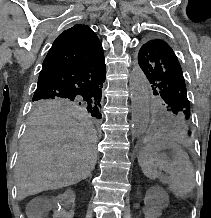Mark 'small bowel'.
<instances>
[{
	"label": "small bowel",
	"mask_w": 211,
	"mask_h": 218,
	"mask_svg": "<svg viewBox=\"0 0 211 218\" xmlns=\"http://www.w3.org/2000/svg\"><path fill=\"white\" fill-rule=\"evenodd\" d=\"M69 212L61 207L55 208L51 212L52 218H68ZM160 216V211L157 208H149L145 212L144 218H158Z\"/></svg>",
	"instance_id": "obj_1"
}]
</instances>
